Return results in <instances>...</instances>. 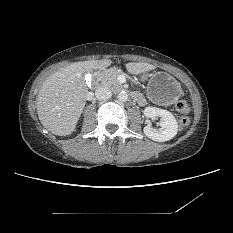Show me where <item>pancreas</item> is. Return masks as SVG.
Here are the masks:
<instances>
[{
	"instance_id": "obj_1",
	"label": "pancreas",
	"mask_w": 233,
	"mask_h": 233,
	"mask_svg": "<svg viewBox=\"0 0 233 233\" xmlns=\"http://www.w3.org/2000/svg\"><path fill=\"white\" fill-rule=\"evenodd\" d=\"M120 74H122L120 71H109L103 75L102 81L104 84L118 89L122 86L117 79Z\"/></svg>"
}]
</instances>
